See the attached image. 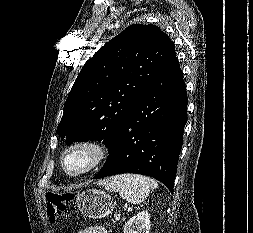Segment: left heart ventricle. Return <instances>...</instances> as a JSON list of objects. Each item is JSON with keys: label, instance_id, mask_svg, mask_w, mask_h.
<instances>
[{"label": "left heart ventricle", "instance_id": "obj_1", "mask_svg": "<svg viewBox=\"0 0 253 233\" xmlns=\"http://www.w3.org/2000/svg\"><path fill=\"white\" fill-rule=\"evenodd\" d=\"M88 162V155L85 152L78 151L72 153L67 159V166L71 170H77L84 167Z\"/></svg>", "mask_w": 253, "mask_h": 233}]
</instances>
